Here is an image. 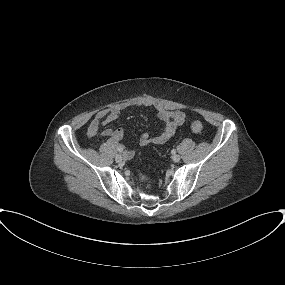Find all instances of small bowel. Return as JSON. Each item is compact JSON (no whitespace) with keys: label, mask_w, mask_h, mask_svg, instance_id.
Instances as JSON below:
<instances>
[{"label":"small bowel","mask_w":285,"mask_h":285,"mask_svg":"<svg viewBox=\"0 0 285 285\" xmlns=\"http://www.w3.org/2000/svg\"><path fill=\"white\" fill-rule=\"evenodd\" d=\"M140 105L153 106L157 110L158 117L164 121L163 129L160 134L149 135L145 133L139 138L140 146H147L150 144L162 145L166 143L174 137L177 128L181 126L184 122V115L182 111L169 110L161 104H156L150 100L144 99L131 103L118 104L98 112L87 128L88 138H95L98 135L101 126L109 125L110 123L115 121L127 108ZM102 135L107 139V145L121 148L124 150V152H126L129 157L132 156V152L126 150L125 147L120 143L124 136L123 129L107 128L102 132Z\"/></svg>","instance_id":"small-bowel-1"}]
</instances>
